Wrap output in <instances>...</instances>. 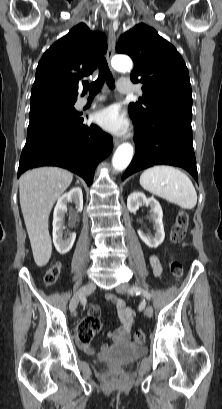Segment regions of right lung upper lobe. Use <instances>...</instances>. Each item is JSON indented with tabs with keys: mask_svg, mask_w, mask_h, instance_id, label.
Wrapping results in <instances>:
<instances>
[{
	"mask_svg": "<svg viewBox=\"0 0 222 409\" xmlns=\"http://www.w3.org/2000/svg\"><path fill=\"white\" fill-rule=\"evenodd\" d=\"M106 50L104 33L92 32L84 23L73 27L42 56L31 90V107L75 102L81 78L97 68L98 58Z\"/></svg>",
	"mask_w": 222,
	"mask_h": 409,
	"instance_id": "1",
	"label": "right lung upper lobe"
}]
</instances>
